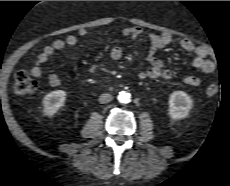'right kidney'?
<instances>
[{"instance_id":"1","label":"right kidney","mask_w":230,"mask_h":186,"mask_svg":"<svg viewBox=\"0 0 230 186\" xmlns=\"http://www.w3.org/2000/svg\"><path fill=\"white\" fill-rule=\"evenodd\" d=\"M66 92L63 90L52 91L43 98V112L52 116L64 105Z\"/></svg>"}]
</instances>
